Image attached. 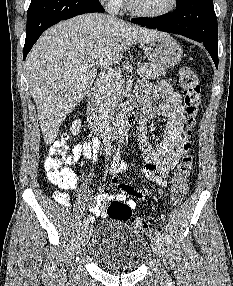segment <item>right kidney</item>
Masks as SVG:
<instances>
[{"instance_id":"ca27d5eb","label":"right kidney","mask_w":233,"mask_h":286,"mask_svg":"<svg viewBox=\"0 0 233 286\" xmlns=\"http://www.w3.org/2000/svg\"><path fill=\"white\" fill-rule=\"evenodd\" d=\"M80 128H81V121L80 120L73 121L70 129L71 133L73 135H78V133L80 132Z\"/></svg>"}]
</instances>
